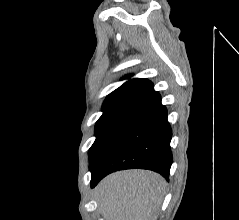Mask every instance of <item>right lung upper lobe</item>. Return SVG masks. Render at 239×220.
Segmentation results:
<instances>
[{
  "label": "right lung upper lobe",
  "instance_id": "right-lung-upper-lobe-1",
  "mask_svg": "<svg viewBox=\"0 0 239 220\" xmlns=\"http://www.w3.org/2000/svg\"><path fill=\"white\" fill-rule=\"evenodd\" d=\"M153 90L152 82L147 79H130L108 95L103 103L102 111L132 107Z\"/></svg>",
  "mask_w": 239,
  "mask_h": 220
}]
</instances>
